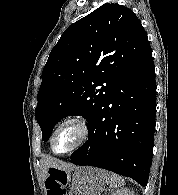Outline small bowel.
I'll list each match as a JSON object with an SVG mask.
<instances>
[{"mask_svg":"<svg viewBox=\"0 0 178 195\" xmlns=\"http://www.w3.org/2000/svg\"><path fill=\"white\" fill-rule=\"evenodd\" d=\"M48 195H62V193L58 188L48 187Z\"/></svg>","mask_w":178,"mask_h":195,"instance_id":"obj_1","label":"small bowel"}]
</instances>
